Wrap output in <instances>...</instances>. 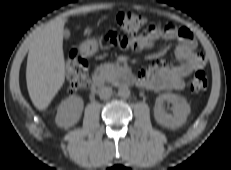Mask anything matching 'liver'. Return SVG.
Wrapping results in <instances>:
<instances>
[{
    "instance_id": "6515ba94",
    "label": "liver",
    "mask_w": 231,
    "mask_h": 170,
    "mask_svg": "<svg viewBox=\"0 0 231 170\" xmlns=\"http://www.w3.org/2000/svg\"><path fill=\"white\" fill-rule=\"evenodd\" d=\"M66 19L56 18L38 32L27 58L26 82L30 99L46 109L65 82L63 31Z\"/></svg>"
}]
</instances>
